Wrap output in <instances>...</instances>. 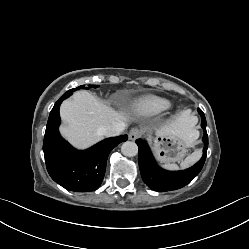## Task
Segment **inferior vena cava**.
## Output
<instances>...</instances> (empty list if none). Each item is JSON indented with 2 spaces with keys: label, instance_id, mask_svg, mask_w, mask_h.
<instances>
[{
  "label": "inferior vena cava",
  "instance_id": "inferior-vena-cava-1",
  "mask_svg": "<svg viewBox=\"0 0 249 249\" xmlns=\"http://www.w3.org/2000/svg\"><path fill=\"white\" fill-rule=\"evenodd\" d=\"M125 127H126V124L124 122H117V123H113L111 125L102 127L99 130V133L106 137H115V136L120 135L125 130Z\"/></svg>",
  "mask_w": 249,
  "mask_h": 249
}]
</instances>
